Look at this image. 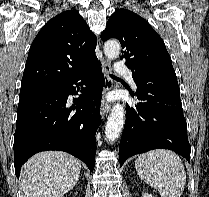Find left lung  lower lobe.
<instances>
[{"instance_id":"left-lung-lower-lobe-1","label":"left lung lower lobe","mask_w":209,"mask_h":197,"mask_svg":"<svg viewBox=\"0 0 209 197\" xmlns=\"http://www.w3.org/2000/svg\"><path fill=\"white\" fill-rule=\"evenodd\" d=\"M136 85L137 98L143 102L135 108L127 105L119 145L120 166L130 156L157 148L175 151L189 161L191 146L178 85L148 82Z\"/></svg>"}]
</instances>
